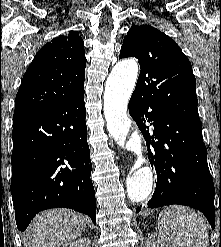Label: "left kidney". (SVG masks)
<instances>
[{
	"label": "left kidney",
	"mask_w": 221,
	"mask_h": 247,
	"mask_svg": "<svg viewBox=\"0 0 221 247\" xmlns=\"http://www.w3.org/2000/svg\"><path fill=\"white\" fill-rule=\"evenodd\" d=\"M161 243H163L165 247H176L174 244L167 241L162 235L151 236L148 240V247H156V245Z\"/></svg>",
	"instance_id": "left-kidney-1"
}]
</instances>
